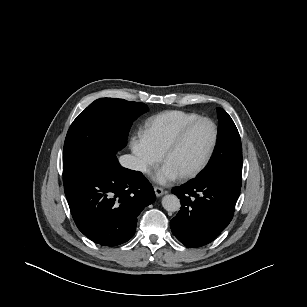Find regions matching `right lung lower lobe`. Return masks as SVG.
I'll return each mask as SVG.
<instances>
[{
	"instance_id": "right-lung-lower-lobe-1",
	"label": "right lung lower lobe",
	"mask_w": 307,
	"mask_h": 307,
	"mask_svg": "<svg viewBox=\"0 0 307 307\" xmlns=\"http://www.w3.org/2000/svg\"><path fill=\"white\" fill-rule=\"evenodd\" d=\"M64 191L78 229L104 246L128 241L138 215L156 199L142 173L121 167L115 155L64 186Z\"/></svg>"
}]
</instances>
